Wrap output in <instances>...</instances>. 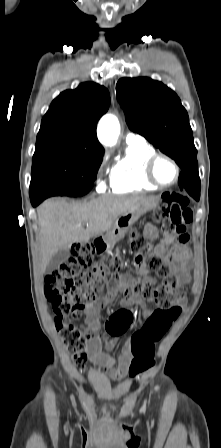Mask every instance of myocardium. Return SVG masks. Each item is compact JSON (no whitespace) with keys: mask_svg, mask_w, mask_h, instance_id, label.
Returning <instances> with one entry per match:
<instances>
[{"mask_svg":"<svg viewBox=\"0 0 221 448\" xmlns=\"http://www.w3.org/2000/svg\"><path fill=\"white\" fill-rule=\"evenodd\" d=\"M161 158H164V159L168 160L174 166V168L176 170L175 179L172 182H170V183H162V182H160L158 180V178L156 177V175H155L156 163ZM180 174H181V168H180L179 164L177 163V161L173 157H171V156H169L167 154H164V153H154L153 155H151L148 158V160L145 163V177H146V180L148 182H150L151 184L159 187V188H168V187H171V186L175 185L178 182L179 178H180Z\"/></svg>","mask_w":221,"mask_h":448,"instance_id":"f54148a6","label":"myocardium"}]
</instances>
